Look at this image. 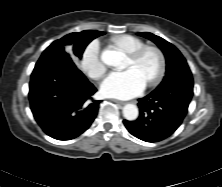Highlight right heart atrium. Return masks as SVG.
<instances>
[{
	"label": "right heart atrium",
	"instance_id": "right-heart-atrium-1",
	"mask_svg": "<svg viewBox=\"0 0 222 187\" xmlns=\"http://www.w3.org/2000/svg\"><path fill=\"white\" fill-rule=\"evenodd\" d=\"M79 63L81 69L95 80L102 78L107 72V66L101 58L100 43L97 40L87 44L81 54Z\"/></svg>",
	"mask_w": 222,
	"mask_h": 187
}]
</instances>
